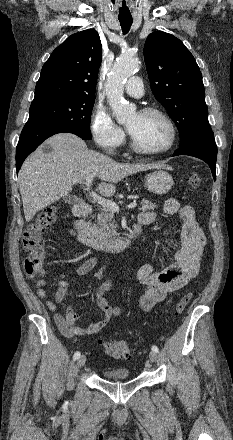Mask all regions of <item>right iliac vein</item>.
Returning <instances> with one entry per match:
<instances>
[{
    "label": "right iliac vein",
    "instance_id": "obj_1",
    "mask_svg": "<svg viewBox=\"0 0 233 440\" xmlns=\"http://www.w3.org/2000/svg\"><path fill=\"white\" fill-rule=\"evenodd\" d=\"M85 363H86V356H85V355H81V356L78 358L77 366H78L79 368H81V367H83V366L85 365Z\"/></svg>",
    "mask_w": 233,
    "mask_h": 440
}]
</instances>
